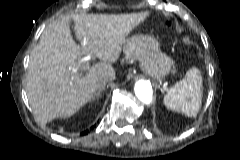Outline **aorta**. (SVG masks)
I'll list each match as a JSON object with an SVG mask.
<instances>
[{
  "label": "aorta",
  "mask_w": 240,
  "mask_h": 160,
  "mask_svg": "<svg viewBox=\"0 0 240 160\" xmlns=\"http://www.w3.org/2000/svg\"><path fill=\"white\" fill-rule=\"evenodd\" d=\"M135 95L144 104L149 105L153 99V91L150 82L138 80L134 86Z\"/></svg>",
  "instance_id": "obj_1"
}]
</instances>
